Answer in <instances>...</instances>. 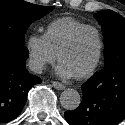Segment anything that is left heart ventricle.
I'll use <instances>...</instances> for the list:
<instances>
[{
  "label": "left heart ventricle",
  "instance_id": "b2bd125f",
  "mask_svg": "<svg viewBox=\"0 0 125 125\" xmlns=\"http://www.w3.org/2000/svg\"><path fill=\"white\" fill-rule=\"evenodd\" d=\"M99 42L94 31L82 33L73 46L61 57L60 62L72 73L73 76L85 72L95 60Z\"/></svg>",
  "mask_w": 125,
  "mask_h": 125
}]
</instances>
